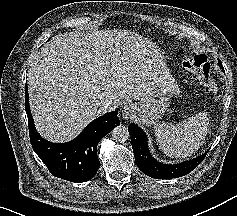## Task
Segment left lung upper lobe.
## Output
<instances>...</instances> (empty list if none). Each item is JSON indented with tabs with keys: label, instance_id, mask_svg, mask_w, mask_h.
I'll return each instance as SVG.
<instances>
[{
	"label": "left lung upper lobe",
	"instance_id": "1",
	"mask_svg": "<svg viewBox=\"0 0 237 216\" xmlns=\"http://www.w3.org/2000/svg\"><path fill=\"white\" fill-rule=\"evenodd\" d=\"M219 66L221 67V69H223V67H222V64H221V61L219 60ZM223 71H224V69H223Z\"/></svg>",
	"mask_w": 237,
	"mask_h": 216
}]
</instances>
